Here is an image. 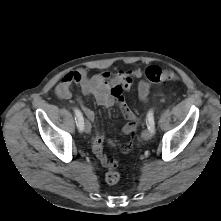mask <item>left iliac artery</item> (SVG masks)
Returning a JSON list of instances; mask_svg holds the SVG:
<instances>
[{"label": "left iliac artery", "mask_w": 221, "mask_h": 221, "mask_svg": "<svg viewBox=\"0 0 221 221\" xmlns=\"http://www.w3.org/2000/svg\"><path fill=\"white\" fill-rule=\"evenodd\" d=\"M146 123H147L148 129H150L154 133L155 122H154L153 110H150L148 112L147 117H146Z\"/></svg>", "instance_id": "left-iliac-artery-1"}]
</instances>
